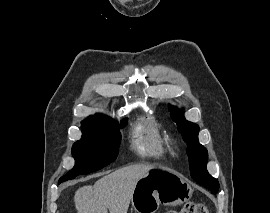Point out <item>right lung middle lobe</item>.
Returning <instances> with one entry per match:
<instances>
[{"label": "right lung middle lobe", "instance_id": "obj_1", "mask_svg": "<svg viewBox=\"0 0 270 213\" xmlns=\"http://www.w3.org/2000/svg\"><path fill=\"white\" fill-rule=\"evenodd\" d=\"M127 120L122 121L124 127ZM120 126L115 122L82 123V137L72 147L75 166L59 183L79 174L97 171L116 159L120 145Z\"/></svg>", "mask_w": 270, "mask_h": 213}]
</instances>
